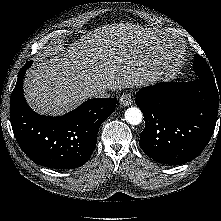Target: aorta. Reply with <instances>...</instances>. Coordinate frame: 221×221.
<instances>
[{"label":"aorta","instance_id":"aorta-1","mask_svg":"<svg viewBox=\"0 0 221 221\" xmlns=\"http://www.w3.org/2000/svg\"><path fill=\"white\" fill-rule=\"evenodd\" d=\"M125 120L131 125H138L142 121V112L137 107L128 108L125 113Z\"/></svg>","mask_w":221,"mask_h":221}]
</instances>
